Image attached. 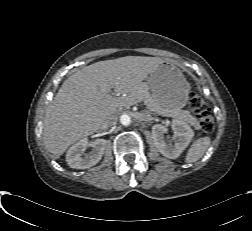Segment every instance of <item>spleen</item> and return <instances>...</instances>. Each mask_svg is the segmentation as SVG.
Segmentation results:
<instances>
[{
  "mask_svg": "<svg viewBox=\"0 0 252 231\" xmlns=\"http://www.w3.org/2000/svg\"><path fill=\"white\" fill-rule=\"evenodd\" d=\"M210 143V137H202L194 141L186 154V163H193L198 161L209 148Z\"/></svg>",
  "mask_w": 252,
  "mask_h": 231,
  "instance_id": "spleen-1",
  "label": "spleen"
}]
</instances>
